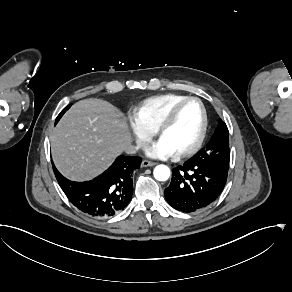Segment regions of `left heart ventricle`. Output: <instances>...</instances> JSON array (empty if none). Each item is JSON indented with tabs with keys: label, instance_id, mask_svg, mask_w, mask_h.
I'll return each mask as SVG.
<instances>
[{
	"label": "left heart ventricle",
	"instance_id": "left-heart-ventricle-1",
	"mask_svg": "<svg viewBox=\"0 0 292 292\" xmlns=\"http://www.w3.org/2000/svg\"><path fill=\"white\" fill-rule=\"evenodd\" d=\"M201 113L196 102L185 103L163 133L162 138L176 150L188 147L195 139Z\"/></svg>",
	"mask_w": 292,
	"mask_h": 292
}]
</instances>
